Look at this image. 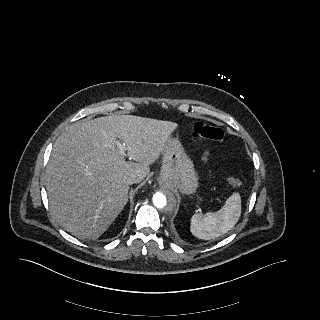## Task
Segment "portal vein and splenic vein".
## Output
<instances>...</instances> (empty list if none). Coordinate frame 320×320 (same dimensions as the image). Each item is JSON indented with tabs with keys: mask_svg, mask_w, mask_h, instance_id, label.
I'll list each match as a JSON object with an SVG mask.
<instances>
[{
	"mask_svg": "<svg viewBox=\"0 0 320 320\" xmlns=\"http://www.w3.org/2000/svg\"><path fill=\"white\" fill-rule=\"evenodd\" d=\"M115 145L118 147L120 154L124 155L125 154V145L119 141H117L115 143Z\"/></svg>",
	"mask_w": 320,
	"mask_h": 320,
	"instance_id": "obj_1",
	"label": "portal vein and splenic vein"
}]
</instances>
